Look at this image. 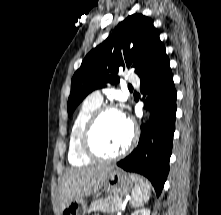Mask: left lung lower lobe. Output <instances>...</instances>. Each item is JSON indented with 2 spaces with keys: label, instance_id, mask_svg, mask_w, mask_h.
<instances>
[{
  "label": "left lung lower lobe",
  "instance_id": "0a47b994",
  "mask_svg": "<svg viewBox=\"0 0 221 215\" xmlns=\"http://www.w3.org/2000/svg\"><path fill=\"white\" fill-rule=\"evenodd\" d=\"M139 77L140 91L144 96L148 95L151 119L148 127H141L137 148L117 165L147 177L159 196L169 172L176 117V89L165 47Z\"/></svg>",
  "mask_w": 221,
  "mask_h": 215
}]
</instances>
